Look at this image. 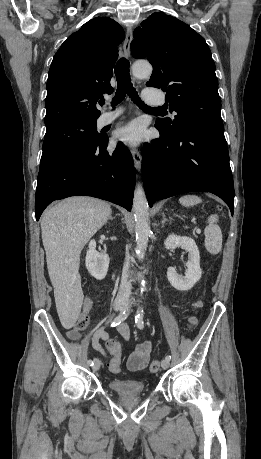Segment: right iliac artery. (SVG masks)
I'll use <instances>...</instances> for the list:
<instances>
[{
  "mask_svg": "<svg viewBox=\"0 0 261 459\" xmlns=\"http://www.w3.org/2000/svg\"><path fill=\"white\" fill-rule=\"evenodd\" d=\"M128 316V309L127 310H124L123 312H121L112 322H111V327H115L117 325H119L121 322H123ZM97 358H95L94 360H88V364L90 366H93L94 364V361L96 360Z\"/></svg>",
  "mask_w": 261,
  "mask_h": 459,
  "instance_id": "82829eb1",
  "label": "right iliac artery"
}]
</instances>
